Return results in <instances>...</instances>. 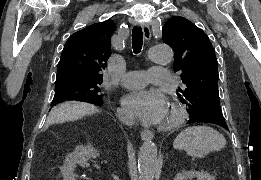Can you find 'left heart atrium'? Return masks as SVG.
I'll list each match as a JSON object with an SVG mask.
<instances>
[{"instance_id":"obj_1","label":"left heart atrium","mask_w":261,"mask_h":180,"mask_svg":"<svg viewBox=\"0 0 261 180\" xmlns=\"http://www.w3.org/2000/svg\"><path fill=\"white\" fill-rule=\"evenodd\" d=\"M124 110L144 121H156L164 111L167 98L160 90L137 89L123 96Z\"/></svg>"}]
</instances>
